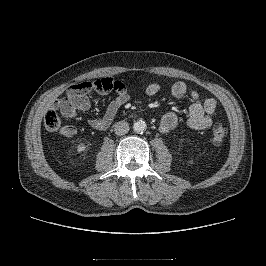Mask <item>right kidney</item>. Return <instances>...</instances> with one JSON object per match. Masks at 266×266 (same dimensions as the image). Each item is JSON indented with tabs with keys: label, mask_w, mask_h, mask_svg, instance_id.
Here are the masks:
<instances>
[{
	"label": "right kidney",
	"mask_w": 266,
	"mask_h": 266,
	"mask_svg": "<svg viewBox=\"0 0 266 266\" xmlns=\"http://www.w3.org/2000/svg\"><path fill=\"white\" fill-rule=\"evenodd\" d=\"M86 148V145L84 143H80L76 146L77 152L81 153L82 151H84Z\"/></svg>",
	"instance_id": "1"
}]
</instances>
